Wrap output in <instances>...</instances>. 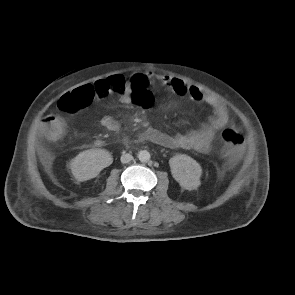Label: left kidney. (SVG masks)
I'll list each match as a JSON object with an SVG mask.
<instances>
[{"mask_svg": "<svg viewBox=\"0 0 295 295\" xmlns=\"http://www.w3.org/2000/svg\"><path fill=\"white\" fill-rule=\"evenodd\" d=\"M171 174L179 185L186 190H195L200 185L202 168L193 158L185 154H176L169 160Z\"/></svg>", "mask_w": 295, "mask_h": 295, "instance_id": "1", "label": "left kidney"}]
</instances>
